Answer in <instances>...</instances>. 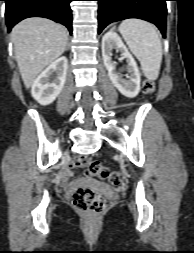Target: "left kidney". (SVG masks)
Masks as SVG:
<instances>
[{"mask_svg":"<svg viewBox=\"0 0 194 253\" xmlns=\"http://www.w3.org/2000/svg\"><path fill=\"white\" fill-rule=\"evenodd\" d=\"M116 49L121 52L122 59L127 61L126 79H123L111 60L112 50ZM102 57L104 66L108 71V75L113 85L119 90L121 94L126 97H135L140 91V73L137 64L129 53L128 49L122 42L117 33L113 31L107 32L102 38Z\"/></svg>","mask_w":194,"mask_h":253,"instance_id":"left-kidney-1","label":"left kidney"}]
</instances>
